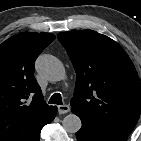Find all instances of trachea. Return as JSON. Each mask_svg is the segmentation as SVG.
Segmentation results:
<instances>
[{
	"label": "trachea",
	"mask_w": 141,
	"mask_h": 141,
	"mask_svg": "<svg viewBox=\"0 0 141 141\" xmlns=\"http://www.w3.org/2000/svg\"><path fill=\"white\" fill-rule=\"evenodd\" d=\"M50 104H57V105H62V97L61 94L55 93L51 96L49 99Z\"/></svg>",
	"instance_id": "trachea-1"
}]
</instances>
